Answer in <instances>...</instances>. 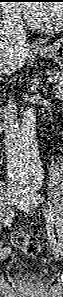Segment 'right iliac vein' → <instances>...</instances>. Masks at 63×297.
Wrapping results in <instances>:
<instances>
[{
  "label": "right iliac vein",
  "instance_id": "63e3f726",
  "mask_svg": "<svg viewBox=\"0 0 63 297\" xmlns=\"http://www.w3.org/2000/svg\"><path fill=\"white\" fill-rule=\"evenodd\" d=\"M15 200H16L15 195H12V196L10 197V202L13 203ZM7 254H9L8 251L1 250V252H0V259H1V260H4V259L6 258V256H7Z\"/></svg>",
  "mask_w": 63,
  "mask_h": 297
}]
</instances>
